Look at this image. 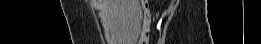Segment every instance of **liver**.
Wrapping results in <instances>:
<instances>
[{
  "label": "liver",
  "instance_id": "obj_1",
  "mask_svg": "<svg viewBox=\"0 0 261 44\" xmlns=\"http://www.w3.org/2000/svg\"><path fill=\"white\" fill-rule=\"evenodd\" d=\"M112 37L120 44H133L138 40L141 27L139 0H105Z\"/></svg>",
  "mask_w": 261,
  "mask_h": 44
}]
</instances>
